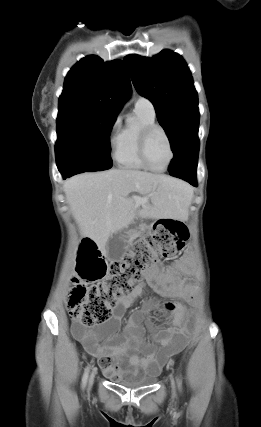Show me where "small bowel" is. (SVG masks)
Returning a JSON list of instances; mask_svg holds the SVG:
<instances>
[{"mask_svg":"<svg viewBox=\"0 0 261 427\" xmlns=\"http://www.w3.org/2000/svg\"><path fill=\"white\" fill-rule=\"evenodd\" d=\"M192 268L187 255L167 267L155 264L147 271L145 283L137 285L131 293L116 302L108 323L98 329L72 326L74 338L91 356L98 358L105 375L118 379H133L142 374L157 375L170 356L183 350L188 335L187 329L182 325L185 311L177 309L172 313L171 326L159 327L150 316L151 311L156 308V303L151 299L130 314L122 333L115 330L120 326L125 310L142 294L145 284L157 293L177 291L191 299L192 294L183 274L189 273ZM146 331L150 333L149 340L144 337ZM144 348L149 349L150 353L139 355L138 351ZM125 356L129 358V366L119 368L118 360Z\"/></svg>","mask_w":261,"mask_h":427,"instance_id":"1","label":"small bowel"}]
</instances>
